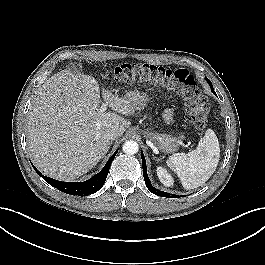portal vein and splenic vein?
<instances>
[{
	"label": "portal vein and splenic vein",
	"mask_w": 265,
	"mask_h": 265,
	"mask_svg": "<svg viewBox=\"0 0 265 265\" xmlns=\"http://www.w3.org/2000/svg\"><path fill=\"white\" fill-rule=\"evenodd\" d=\"M107 104L104 102L102 105H101V107H100V109H99V112L100 113H103V112H105L106 111V109H107Z\"/></svg>",
	"instance_id": "obj_1"
}]
</instances>
